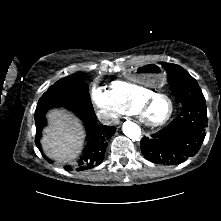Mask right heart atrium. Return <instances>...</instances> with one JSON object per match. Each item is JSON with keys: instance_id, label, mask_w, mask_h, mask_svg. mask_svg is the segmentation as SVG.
I'll list each match as a JSON object with an SVG mask.
<instances>
[{"instance_id": "1", "label": "right heart atrium", "mask_w": 221, "mask_h": 221, "mask_svg": "<svg viewBox=\"0 0 221 221\" xmlns=\"http://www.w3.org/2000/svg\"><path fill=\"white\" fill-rule=\"evenodd\" d=\"M91 97L94 105L99 110L101 118L116 121L125 114V109L113 98L110 91L104 87L93 85Z\"/></svg>"}]
</instances>
